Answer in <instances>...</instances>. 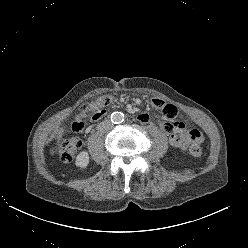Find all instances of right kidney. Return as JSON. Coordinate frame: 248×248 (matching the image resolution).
Here are the masks:
<instances>
[{"label":"right kidney","mask_w":248,"mask_h":248,"mask_svg":"<svg viewBox=\"0 0 248 248\" xmlns=\"http://www.w3.org/2000/svg\"><path fill=\"white\" fill-rule=\"evenodd\" d=\"M75 164L77 167H80L81 169H85L89 164V154L86 151L80 152L77 157Z\"/></svg>","instance_id":"right-kidney-1"}]
</instances>
